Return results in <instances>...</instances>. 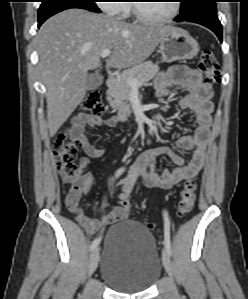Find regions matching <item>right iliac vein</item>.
Wrapping results in <instances>:
<instances>
[{"mask_svg": "<svg viewBox=\"0 0 248 299\" xmlns=\"http://www.w3.org/2000/svg\"><path fill=\"white\" fill-rule=\"evenodd\" d=\"M99 261V247H95L90 255L88 274L92 275L98 265Z\"/></svg>", "mask_w": 248, "mask_h": 299, "instance_id": "63e3f726", "label": "right iliac vein"}]
</instances>
